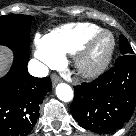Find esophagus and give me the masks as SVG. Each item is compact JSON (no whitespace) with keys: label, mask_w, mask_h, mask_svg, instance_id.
<instances>
[{"label":"esophagus","mask_w":136,"mask_h":136,"mask_svg":"<svg viewBox=\"0 0 136 136\" xmlns=\"http://www.w3.org/2000/svg\"><path fill=\"white\" fill-rule=\"evenodd\" d=\"M51 81H52L53 86H55L58 82L61 81V79H60L59 76H57V75L54 74V75H52V77H51Z\"/></svg>","instance_id":"34e87169"}]
</instances>
